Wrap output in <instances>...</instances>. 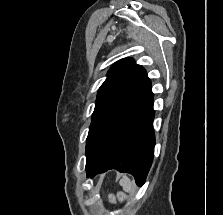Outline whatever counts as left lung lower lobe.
I'll list each match as a JSON object with an SVG mask.
<instances>
[{
  "label": "left lung lower lobe",
  "mask_w": 223,
  "mask_h": 215,
  "mask_svg": "<svg viewBox=\"0 0 223 215\" xmlns=\"http://www.w3.org/2000/svg\"><path fill=\"white\" fill-rule=\"evenodd\" d=\"M153 93L151 88L109 132L97 153L86 163L87 177L116 169L145 182L154 157Z\"/></svg>",
  "instance_id": "0a47b994"
}]
</instances>
